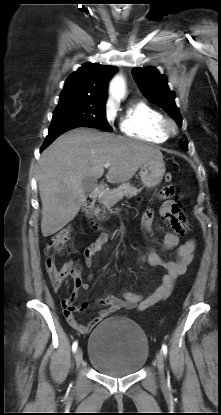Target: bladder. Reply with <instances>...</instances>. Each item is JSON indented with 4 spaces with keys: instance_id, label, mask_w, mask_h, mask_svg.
<instances>
[{
    "instance_id": "31cf9c89",
    "label": "bladder",
    "mask_w": 221,
    "mask_h": 415,
    "mask_svg": "<svg viewBox=\"0 0 221 415\" xmlns=\"http://www.w3.org/2000/svg\"><path fill=\"white\" fill-rule=\"evenodd\" d=\"M148 355L146 334L129 318L106 319L90 334L88 359L101 374L116 378L132 375L144 366Z\"/></svg>"
}]
</instances>
